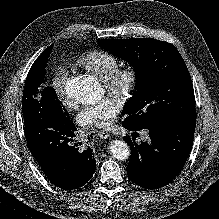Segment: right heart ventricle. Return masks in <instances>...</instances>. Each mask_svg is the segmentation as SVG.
Masks as SVG:
<instances>
[{
	"instance_id": "1",
	"label": "right heart ventricle",
	"mask_w": 219,
	"mask_h": 219,
	"mask_svg": "<svg viewBox=\"0 0 219 219\" xmlns=\"http://www.w3.org/2000/svg\"><path fill=\"white\" fill-rule=\"evenodd\" d=\"M79 65L102 81L110 77L119 67L118 59L105 51H94L81 57Z\"/></svg>"
}]
</instances>
